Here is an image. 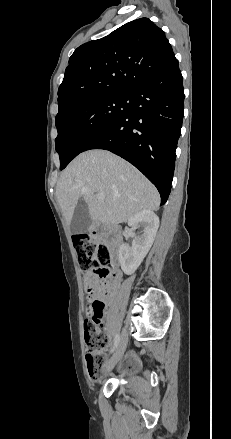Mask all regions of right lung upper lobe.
Returning <instances> with one entry per match:
<instances>
[{
  "mask_svg": "<svg viewBox=\"0 0 231 439\" xmlns=\"http://www.w3.org/2000/svg\"><path fill=\"white\" fill-rule=\"evenodd\" d=\"M175 60L162 29L148 18L128 22L74 51L58 90V114L89 98L132 94Z\"/></svg>",
  "mask_w": 231,
  "mask_h": 439,
  "instance_id": "1",
  "label": "right lung upper lobe"
}]
</instances>
